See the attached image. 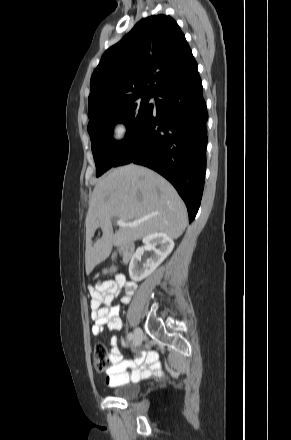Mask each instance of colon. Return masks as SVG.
I'll use <instances>...</instances> for the list:
<instances>
[{"mask_svg": "<svg viewBox=\"0 0 291 440\" xmlns=\"http://www.w3.org/2000/svg\"><path fill=\"white\" fill-rule=\"evenodd\" d=\"M115 268H106L99 272L100 276H109L113 274ZM93 362L98 371H106L109 365V353L106 346L102 343H97L93 347Z\"/></svg>", "mask_w": 291, "mask_h": 440, "instance_id": "1", "label": "colon"}]
</instances>
